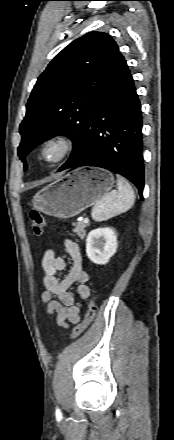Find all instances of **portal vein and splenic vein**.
<instances>
[{"mask_svg":"<svg viewBox=\"0 0 174 440\" xmlns=\"http://www.w3.org/2000/svg\"><path fill=\"white\" fill-rule=\"evenodd\" d=\"M84 222L87 223L89 222V219L87 217L84 218Z\"/></svg>","mask_w":174,"mask_h":440,"instance_id":"18ae733b","label":"portal vein and splenic vein"}]
</instances>
